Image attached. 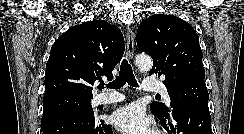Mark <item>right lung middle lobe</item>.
<instances>
[{"label": "right lung middle lobe", "instance_id": "right-lung-middle-lobe-1", "mask_svg": "<svg viewBox=\"0 0 244 134\" xmlns=\"http://www.w3.org/2000/svg\"><path fill=\"white\" fill-rule=\"evenodd\" d=\"M91 100L76 97H57L43 101V116L41 124L49 118L71 112H79L88 116H93Z\"/></svg>", "mask_w": 244, "mask_h": 134}]
</instances>
